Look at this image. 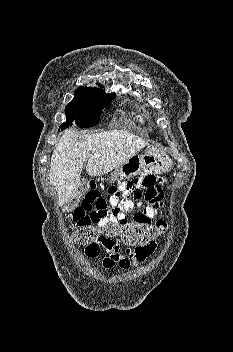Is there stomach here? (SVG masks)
Here are the masks:
<instances>
[{"label": "stomach", "instance_id": "1", "mask_svg": "<svg viewBox=\"0 0 233 352\" xmlns=\"http://www.w3.org/2000/svg\"><path fill=\"white\" fill-rule=\"evenodd\" d=\"M171 165L172 161L164 151L150 147L143 154H135L117 167L112 174V179H130L140 174H161L167 172Z\"/></svg>", "mask_w": 233, "mask_h": 352}]
</instances>
